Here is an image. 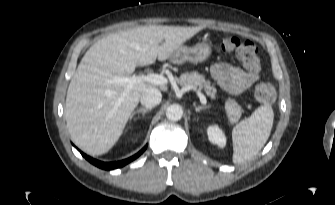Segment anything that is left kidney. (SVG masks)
<instances>
[{
	"label": "left kidney",
	"instance_id": "obj_1",
	"mask_svg": "<svg viewBox=\"0 0 335 205\" xmlns=\"http://www.w3.org/2000/svg\"><path fill=\"white\" fill-rule=\"evenodd\" d=\"M207 135L213 144L218 145L219 147L223 148L226 145V137L217 125L209 126L207 128Z\"/></svg>",
	"mask_w": 335,
	"mask_h": 205
}]
</instances>
